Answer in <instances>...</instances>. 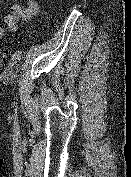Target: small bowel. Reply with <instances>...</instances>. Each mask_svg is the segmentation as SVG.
I'll return each mask as SVG.
<instances>
[{"label": "small bowel", "mask_w": 131, "mask_h": 177, "mask_svg": "<svg viewBox=\"0 0 131 177\" xmlns=\"http://www.w3.org/2000/svg\"><path fill=\"white\" fill-rule=\"evenodd\" d=\"M39 13V5L36 0H28L26 5L15 2L9 12L0 23V40L7 32H16L21 22H26Z\"/></svg>", "instance_id": "small-bowel-1"}]
</instances>
